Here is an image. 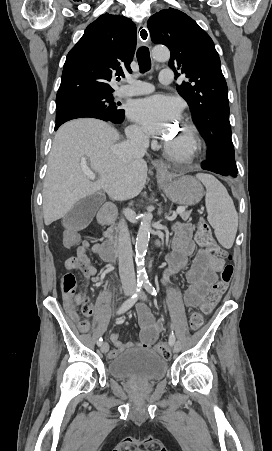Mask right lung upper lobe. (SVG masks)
<instances>
[{"label": "right lung upper lobe", "mask_w": 272, "mask_h": 451, "mask_svg": "<svg viewBox=\"0 0 272 451\" xmlns=\"http://www.w3.org/2000/svg\"><path fill=\"white\" fill-rule=\"evenodd\" d=\"M136 48L132 20L105 13L88 25L68 53L56 99L111 94L112 76L131 72Z\"/></svg>", "instance_id": "cb5924a9"}]
</instances>
